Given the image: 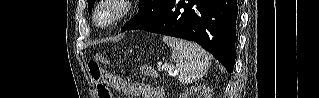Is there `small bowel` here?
I'll return each instance as SVG.
<instances>
[{"instance_id": "1", "label": "small bowel", "mask_w": 319, "mask_h": 98, "mask_svg": "<svg viewBox=\"0 0 319 98\" xmlns=\"http://www.w3.org/2000/svg\"><path fill=\"white\" fill-rule=\"evenodd\" d=\"M107 81L113 88L122 91L127 97L163 98L161 88L146 83L128 82L115 76H109Z\"/></svg>"}]
</instances>
